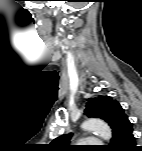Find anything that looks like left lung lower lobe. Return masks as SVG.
<instances>
[{"label":"left lung lower lobe","instance_id":"left-lung-lower-lobe-1","mask_svg":"<svg viewBox=\"0 0 142 151\" xmlns=\"http://www.w3.org/2000/svg\"><path fill=\"white\" fill-rule=\"evenodd\" d=\"M111 151H137L133 128L126 130L111 146Z\"/></svg>","mask_w":142,"mask_h":151}]
</instances>
